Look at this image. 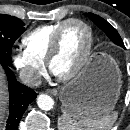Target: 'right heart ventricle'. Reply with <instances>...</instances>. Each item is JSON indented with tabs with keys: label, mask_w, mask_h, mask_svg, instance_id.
Instances as JSON below:
<instances>
[{
	"label": "right heart ventricle",
	"mask_w": 130,
	"mask_h": 130,
	"mask_svg": "<svg viewBox=\"0 0 130 130\" xmlns=\"http://www.w3.org/2000/svg\"><path fill=\"white\" fill-rule=\"evenodd\" d=\"M64 21L39 26L22 39L25 50L36 60L45 62L53 36Z\"/></svg>",
	"instance_id": "obj_1"
}]
</instances>
